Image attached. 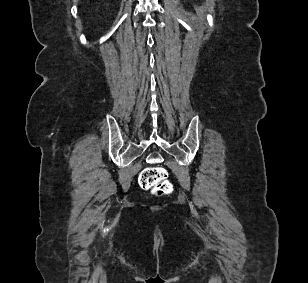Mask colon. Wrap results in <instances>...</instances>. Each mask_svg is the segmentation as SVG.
<instances>
[{"label": "colon", "mask_w": 308, "mask_h": 283, "mask_svg": "<svg viewBox=\"0 0 308 283\" xmlns=\"http://www.w3.org/2000/svg\"><path fill=\"white\" fill-rule=\"evenodd\" d=\"M138 182L141 188L151 190L157 196L167 195L173 189L167 171L159 166L143 169L139 174Z\"/></svg>", "instance_id": "1"}]
</instances>
